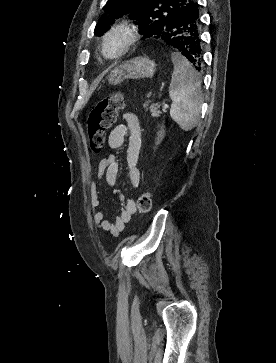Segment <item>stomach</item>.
Masks as SVG:
<instances>
[{
    "label": "stomach",
    "instance_id": "0dacf381",
    "mask_svg": "<svg viewBox=\"0 0 276 363\" xmlns=\"http://www.w3.org/2000/svg\"><path fill=\"white\" fill-rule=\"evenodd\" d=\"M156 71L155 62L147 57H136L116 67L110 74L108 81L117 85L125 79L152 78Z\"/></svg>",
    "mask_w": 276,
    "mask_h": 363
}]
</instances>
